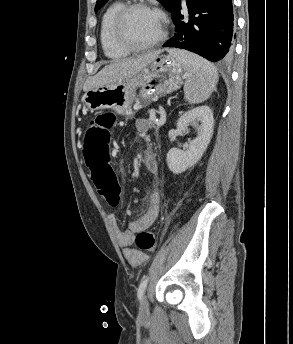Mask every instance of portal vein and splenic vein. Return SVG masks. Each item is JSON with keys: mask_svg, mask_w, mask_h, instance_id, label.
Instances as JSON below:
<instances>
[{"mask_svg": "<svg viewBox=\"0 0 293 344\" xmlns=\"http://www.w3.org/2000/svg\"><path fill=\"white\" fill-rule=\"evenodd\" d=\"M151 119L154 120L155 122H158V120L155 117H152Z\"/></svg>", "mask_w": 293, "mask_h": 344, "instance_id": "18ae733b", "label": "portal vein and splenic vein"}]
</instances>
